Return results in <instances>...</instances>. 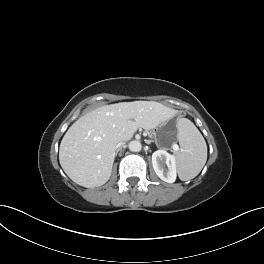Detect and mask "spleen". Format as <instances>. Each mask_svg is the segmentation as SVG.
I'll use <instances>...</instances> for the list:
<instances>
[{"mask_svg": "<svg viewBox=\"0 0 264 264\" xmlns=\"http://www.w3.org/2000/svg\"><path fill=\"white\" fill-rule=\"evenodd\" d=\"M177 139L181 150L176 153L178 176L182 181L195 178L207 160L206 142L193 122L187 118L177 123Z\"/></svg>", "mask_w": 264, "mask_h": 264, "instance_id": "spleen-1", "label": "spleen"}]
</instances>
